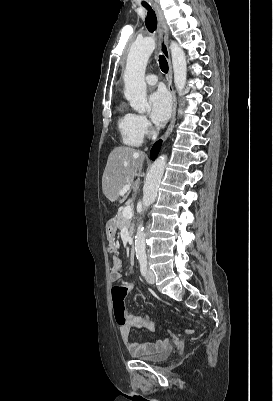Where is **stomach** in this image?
<instances>
[{
    "instance_id": "obj_1",
    "label": "stomach",
    "mask_w": 273,
    "mask_h": 401,
    "mask_svg": "<svg viewBox=\"0 0 273 401\" xmlns=\"http://www.w3.org/2000/svg\"><path fill=\"white\" fill-rule=\"evenodd\" d=\"M116 225H115V221L114 219H111V221H108V223H106V235H107V239L108 241H111V239H114L115 235H116Z\"/></svg>"
}]
</instances>
